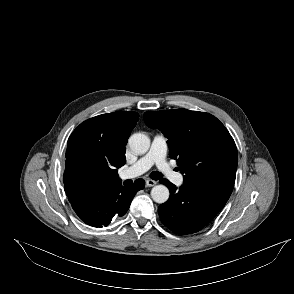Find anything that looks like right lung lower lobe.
Here are the masks:
<instances>
[{
	"label": "right lung lower lobe",
	"mask_w": 294,
	"mask_h": 294,
	"mask_svg": "<svg viewBox=\"0 0 294 294\" xmlns=\"http://www.w3.org/2000/svg\"><path fill=\"white\" fill-rule=\"evenodd\" d=\"M145 182L138 179L131 187L122 184L99 190L80 205H72L79 218L93 227L107 226L113 217L123 216L129 209L137 191L143 189ZM66 194H69L66 191Z\"/></svg>",
	"instance_id": "right-lung-lower-lobe-1"
}]
</instances>
